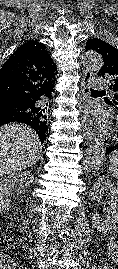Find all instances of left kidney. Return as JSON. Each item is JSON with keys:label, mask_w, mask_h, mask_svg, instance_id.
Segmentation results:
<instances>
[{"label": "left kidney", "mask_w": 118, "mask_h": 269, "mask_svg": "<svg viewBox=\"0 0 118 269\" xmlns=\"http://www.w3.org/2000/svg\"><path fill=\"white\" fill-rule=\"evenodd\" d=\"M103 193H107L109 197L108 208L105 209V219L96 213L92 218V223L98 231L107 233L118 224V188L110 183L105 176H99L89 192V198L100 201Z\"/></svg>", "instance_id": "left-kidney-1"}]
</instances>
